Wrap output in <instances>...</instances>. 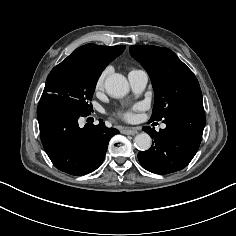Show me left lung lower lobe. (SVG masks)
<instances>
[{
	"label": "left lung lower lobe",
	"instance_id": "0a47b994",
	"mask_svg": "<svg viewBox=\"0 0 236 236\" xmlns=\"http://www.w3.org/2000/svg\"><path fill=\"white\" fill-rule=\"evenodd\" d=\"M163 122L166 128L159 132L143 127L154 140L149 150L138 153L140 164L156 174L182 170L193 159L206 123L203 105H184L168 113Z\"/></svg>",
	"mask_w": 236,
	"mask_h": 236
}]
</instances>
